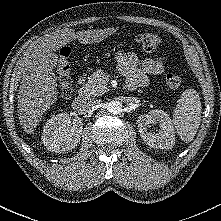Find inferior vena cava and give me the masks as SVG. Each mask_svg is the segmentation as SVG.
<instances>
[{
  "mask_svg": "<svg viewBox=\"0 0 221 221\" xmlns=\"http://www.w3.org/2000/svg\"><path fill=\"white\" fill-rule=\"evenodd\" d=\"M100 103L99 99H90L87 102H85V104L83 105L82 109L85 112H89L92 109H94L98 104Z\"/></svg>",
  "mask_w": 221,
  "mask_h": 221,
  "instance_id": "inferior-vena-cava-1",
  "label": "inferior vena cava"
}]
</instances>
